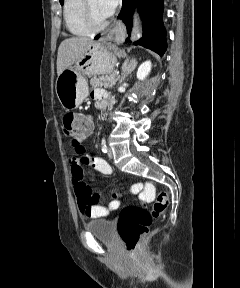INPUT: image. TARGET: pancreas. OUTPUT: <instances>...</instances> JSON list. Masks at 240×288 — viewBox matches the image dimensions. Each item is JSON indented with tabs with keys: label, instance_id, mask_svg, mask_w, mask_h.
Returning a JSON list of instances; mask_svg holds the SVG:
<instances>
[{
	"label": "pancreas",
	"instance_id": "1",
	"mask_svg": "<svg viewBox=\"0 0 240 288\" xmlns=\"http://www.w3.org/2000/svg\"><path fill=\"white\" fill-rule=\"evenodd\" d=\"M118 80L119 77H116L115 75H101L98 77H93L90 80V84L93 87L111 88L116 84Z\"/></svg>",
	"mask_w": 240,
	"mask_h": 288
}]
</instances>
